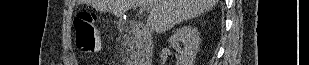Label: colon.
<instances>
[{"label":"colon","mask_w":309,"mask_h":65,"mask_svg":"<svg viewBox=\"0 0 309 65\" xmlns=\"http://www.w3.org/2000/svg\"><path fill=\"white\" fill-rule=\"evenodd\" d=\"M97 17L88 12H80L74 19L77 47L84 53H94L102 43L97 28Z\"/></svg>","instance_id":"5ec220e1"}]
</instances>
